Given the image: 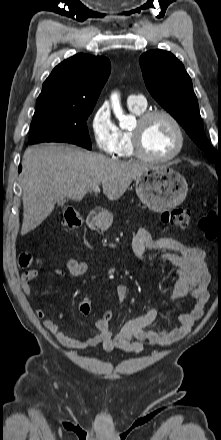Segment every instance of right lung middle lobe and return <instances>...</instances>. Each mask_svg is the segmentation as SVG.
Returning a JSON list of instances; mask_svg holds the SVG:
<instances>
[{"label":"right lung middle lobe","mask_w":221,"mask_h":440,"mask_svg":"<svg viewBox=\"0 0 221 440\" xmlns=\"http://www.w3.org/2000/svg\"><path fill=\"white\" fill-rule=\"evenodd\" d=\"M93 108L53 101L38 103L31 122L29 144L67 142L90 150L86 120Z\"/></svg>","instance_id":"obj_1"}]
</instances>
